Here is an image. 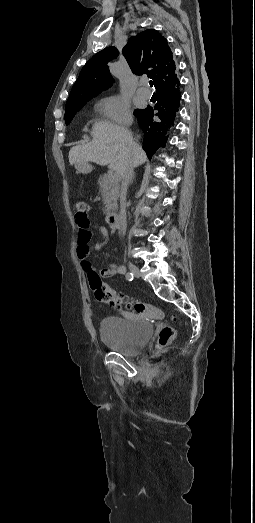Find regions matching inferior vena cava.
Segmentation results:
<instances>
[{"instance_id":"obj_1","label":"inferior vena cava","mask_w":255,"mask_h":523,"mask_svg":"<svg viewBox=\"0 0 255 523\" xmlns=\"http://www.w3.org/2000/svg\"><path fill=\"white\" fill-rule=\"evenodd\" d=\"M134 164L131 156H128L125 162V168L121 172L120 176L122 178L121 192H120V216H119V232L122 236H125L126 232V194L130 180L133 178Z\"/></svg>"}]
</instances>
